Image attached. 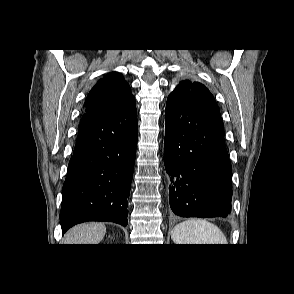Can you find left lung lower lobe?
<instances>
[{
  "instance_id": "left-lung-lower-lobe-1",
  "label": "left lung lower lobe",
  "mask_w": 294,
  "mask_h": 294,
  "mask_svg": "<svg viewBox=\"0 0 294 294\" xmlns=\"http://www.w3.org/2000/svg\"><path fill=\"white\" fill-rule=\"evenodd\" d=\"M164 144L172 211L182 217H227L232 167L218 106L168 97Z\"/></svg>"
}]
</instances>
